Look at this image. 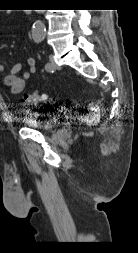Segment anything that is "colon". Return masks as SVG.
I'll return each mask as SVG.
<instances>
[{"mask_svg":"<svg viewBox=\"0 0 138 253\" xmlns=\"http://www.w3.org/2000/svg\"><path fill=\"white\" fill-rule=\"evenodd\" d=\"M22 101L28 105H36L39 103L50 102L51 99L46 94L34 91L32 93L25 94L22 98ZM99 116H100L99 107L93 105L87 109V112L84 115V122L87 125H93L98 121Z\"/></svg>","mask_w":138,"mask_h":253,"instance_id":"obj_1","label":"colon"}]
</instances>
